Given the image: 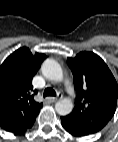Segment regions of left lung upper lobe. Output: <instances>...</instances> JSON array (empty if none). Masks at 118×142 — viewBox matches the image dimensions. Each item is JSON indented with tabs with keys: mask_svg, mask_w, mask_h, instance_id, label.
<instances>
[{
	"mask_svg": "<svg viewBox=\"0 0 118 142\" xmlns=\"http://www.w3.org/2000/svg\"><path fill=\"white\" fill-rule=\"evenodd\" d=\"M67 63L77 91L73 111L67 116L87 131L99 132L113 117L118 85L106 63L96 54L83 51Z\"/></svg>",
	"mask_w": 118,
	"mask_h": 142,
	"instance_id": "obj_1",
	"label": "left lung upper lobe"
}]
</instances>
